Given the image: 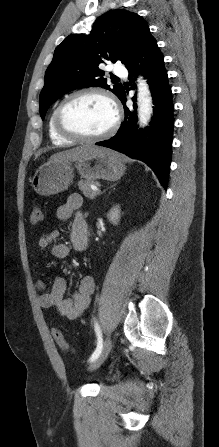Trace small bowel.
Here are the masks:
<instances>
[{"mask_svg": "<svg viewBox=\"0 0 219 447\" xmlns=\"http://www.w3.org/2000/svg\"><path fill=\"white\" fill-rule=\"evenodd\" d=\"M83 204V198L79 194H71L67 202L58 207L56 219L65 222L74 216L72 232L74 235V248L78 251L84 250L85 226L84 219L79 213ZM76 213V214H75ZM75 214V215H74ZM60 235L58 229H51L38 239V247L45 249L51 247V254L58 259H65L69 256V246L65 243H56ZM35 287L39 291L37 300L43 308H55L58 312L68 318H79L90 304L91 295L94 292L95 281L90 275L82 277L76 292L69 298L64 297L66 290V280L57 277L49 292H44L45 285L42 281H36Z\"/></svg>", "mask_w": 219, "mask_h": 447, "instance_id": "1", "label": "small bowel"}]
</instances>
